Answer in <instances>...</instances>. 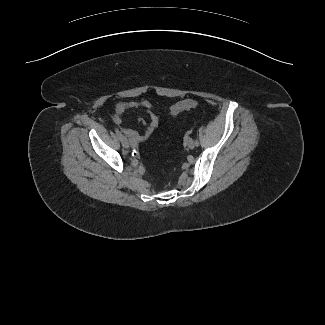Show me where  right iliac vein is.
Here are the masks:
<instances>
[{"instance_id": "right-iliac-vein-1", "label": "right iliac vein", "mask_w": 325, "mask_h": 325, "mask_svg": "<svg viewBox=\"0 0 325 325\" xmlns=\"http://www.w3.org/2000/svg\"><path fill=\"white\" fill-rule=\"evenodd\" d=\"M121 144L124 148H129V142L127 140V138L125 136H122V138L120 139Z\"/></svg>"}]
</instances>
